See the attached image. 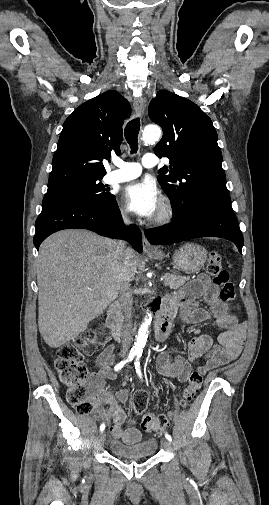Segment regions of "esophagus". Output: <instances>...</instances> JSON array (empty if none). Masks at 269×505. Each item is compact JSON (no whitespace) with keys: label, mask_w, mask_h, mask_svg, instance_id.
Returning a JSON list of instances; mask_svg holds the SVG:
<instances>
[{"label":"esophagus","mask_w":269,"mask_h":505,"mask_svg":"<svg viewBox=\"0 0 269 505\" xmlns=\"http://www.w3.org/2000/svg\"><path fill=\"white\" fill-rule=\"evenodd\" d=\"M134 110L138 116H143L145 112V101L141 96H137L134 98L133 102ZM143 234V252L144 253H152L156 252V248L153 247L149 241L147 240L146 236L144 235V232L142 231Z\"/></svg>","instance_id":"1"}]
</instances>
